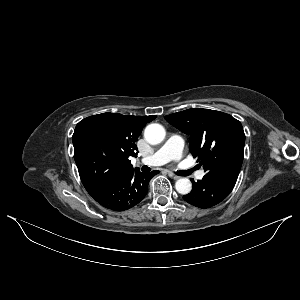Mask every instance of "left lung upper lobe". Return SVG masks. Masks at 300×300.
<instances>
[{
	"label": "left lung upper lobe",
	"mask_w": 300,
	"mask_h": 300,
	"mask_svg": "<svg viewBox=\"0 0 300 300\" xmlns=\"http://www.w3.org/2000/svg\"><path fill=\"white\" fill-rule=\"evenodd\" d=\"M166 121L190 135V151L213 179L234 188L241 165L245 134L231 115L210 109H188L165 116Z\"/></svg>",
	"instance_id": "obj_1"
}]
</instances>
